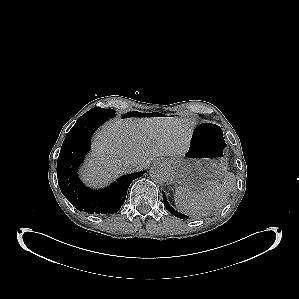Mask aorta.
<instances>
[{"label":"aorta","instance_id":"aorta-1","mask_svg":"<svg viewBox=\"0 0 299 299\" xmlns=\"http://www.w3.org/2000/svg\"><path fill=\"white\" fill-rule=\"evenodd\" d=\"M150 177L154 182L165 183L170 178V171L167 166L157 164L150 169Z\"/></svg>","mask_w":299,"mask_h":299}]
</instances>
